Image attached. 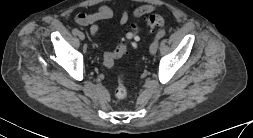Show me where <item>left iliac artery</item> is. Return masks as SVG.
Returning a JSON list of instances; mask_svg holds the SVG:
<instances>
[{"instance_id":"44dca946","label":"left iliac artery","mask_w":253,"mask_h":138,"mask_svg":"<svg viewBox=\"0 0 253 138\" xmlns=\"http://www.w3.org/2000/svg\"><path fill=\"white\" fill-rule=\"evenodd\" d=\"M165 35V31L164 30H161L157 33L156 35V39H161L163 36Z\"/></svg>"}]
</instances>
